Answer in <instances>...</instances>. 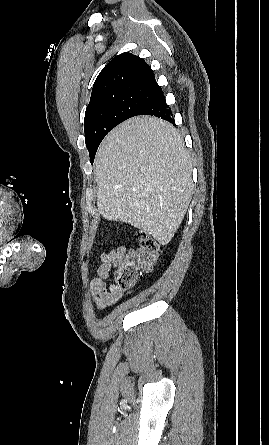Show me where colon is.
<instances>
[{"label": "colon", "instance_id": "obj_1", "mask_svg": "<svg viewBox=\"0 0 269 445\" xmlns=\"http://www.w3.org/2000/svg\"><path fill=\"white\" fill-rule=\"evenodd\" d=\"M138 246L131 249L116 266L114 279L119 289L134 287L141 270H149L159 257L158 244L146 233L137 234Z\"/></svg>", "mask_w": 269, "mask_h": 445}]
</instances>
